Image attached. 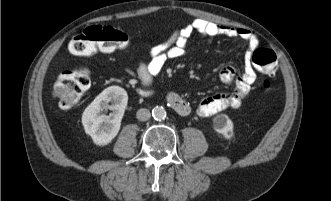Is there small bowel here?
<instances>
[{
	"label": "small bowel",
	"mask_w": 331,
	"mask_h": 201,
	"mask_svg": "<svg viewBox=\"0 0 331 201\" xmlns=\"http://www.w3.org/2000/svg\"><path fill=\"white\" fill-rule=\"evenodd\" d=\"M195 32L205 38L207 43L215 37L226 36L242 39L248 44L243 73L236 76V70L231 65L224 66L219 73L222 83L227 85L234 83V90L229 93H216L206 97L196 107L195 113L199 117H209L228 108H239L243 100L249 96L251 87L256 80L252 55L259 40L257 35L248 29L194 19L184 27L175 30L167 41L152 47L148 62H140L135 72H128L136 77L142 85L148 87L152 83L153 77L162 70L168 61L187 54L188 41ZM167 102L182 116L192 112L190 105L175 92L168 93Z\"/></svg>",
	"instance_id": "obj_1"
}]
</instances>
